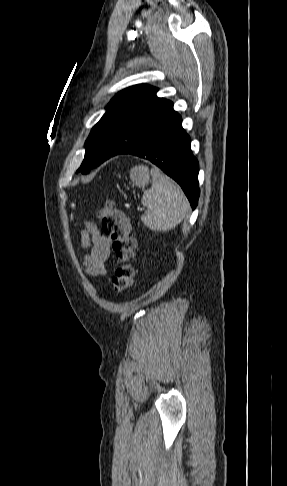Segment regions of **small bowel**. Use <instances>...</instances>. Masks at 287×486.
Listing matches in <instances>:
<instances>
[{"label": "small bowel", "instance_id": "1", "mask_svg": "<svg viewBox=\"0 0 287 486\" xmlns=\"http://www.w3.org/2000/svg\"><path fill=\"white\" fill-rule=\"evenodd\" d=\"M80 232L81 246L88 249L83 258L82 269L89 276H105L107 274L106 265L112 255L110 240L88 220L82 222Z\"/></svg>", "mask_w": 287, "mask_h": 486}]
</instances>
